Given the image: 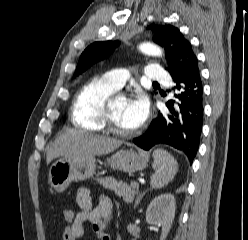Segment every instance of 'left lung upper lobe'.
Here are the masks:
<instances>
[{
	"label": "left lung upper lobe",
	"instance_id": "5c2ea615",
	"mask_svg": "<svg viewBox=\"0 0 248 240\" xmlns=\"http://www.w3.org/2000/svg\"><path fill=\"white\" fill-rule=\"evenodd\" d=\"M149 28L155 32L154 42L165 48L170 75L172 78L180 76L196 58L191 44L172 25H151ZM118 45L119 41H99L89 45L80 56L75 75L107 57Z\"/></svg>",
	"mask_w": 248,
	"mask_h": 240
}]
</instances>
